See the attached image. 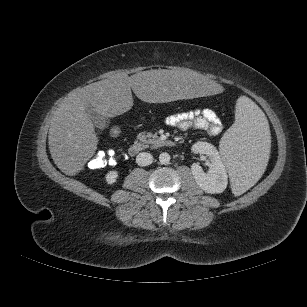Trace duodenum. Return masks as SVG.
Here are the masks:
<instances>
[{
	"label": "duodenum",
	"mask_w": 307,
	"mask_h": 307,
	"mask_svg": "<svg viewBox=\"0 0 307 307\" xmlns=\"http://www.w3.org/2000/svg\"><path fill=\"white\" fill-rule=\"evenodd\" d=\"M154 146L161 147V146H174V142L168 139L159 138L156 140ZM146 145L143 142H134L128 148V155L134 157L138 155L141 151L145 149Z\"/></svg>",
	"instance_id": "410a0bca"
}]
</instances>
